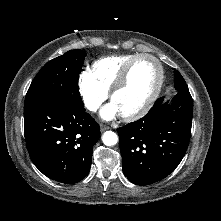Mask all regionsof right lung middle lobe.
<instances>
[{
  "instance_id": "obj_1",
  "label": "right lung middle lobe",
  "mask_w": 221,
  "mask_h": 221,
  "mask_svg": "<svg viewBox=\"0 0 221 221\" xmlns=\"http://www.w3.org/2000/svg\"><path fill=\"white\" fill-rule=\"evenodd\" d=\"M85 56L82 50H70L49 61L33 79L25 97L24 110L50 100L83 106L78 79Z\"/></svg>"
}]
</instances>
